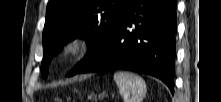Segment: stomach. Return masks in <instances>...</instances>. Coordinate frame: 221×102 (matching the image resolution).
I'll use <instances>...</instances> for the list:
<instances>
[{"mask_svg":"<svg viewBox=\"0 0 221 102\" xmlns=\"http://www.w3.org/2000/svg\"><path fill=\"white\" fill-rule=\"evenodd\" d=\"M104 95H105V94L103 93L102 95H100V97H104Z\"/></svg>","mask_w":221,"mask_h":102,"instance_id":"0dacf381","label":"stomach"}]
</instances>
